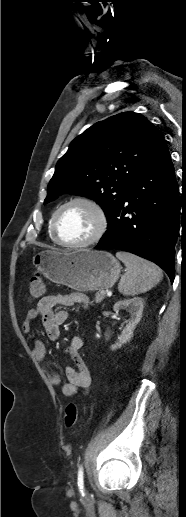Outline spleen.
Instances as JSON below:
<instances>
[{"label": "spleen", "mask_w": 186, "mask_h": 517, "mask_svg": "<svg viewBox=\"0 0 186 517\" xmlns=\"http://www.w3.org/2000/svg\"><path fill=\"white\" fill-rule=\"evenodd\" d=\"M116 257L126 266L118 290L125 296L145 293L155 287L163 277L155 264L127 252H117Z\"/></svg>", "instance_id": "1"}]
</instances>
